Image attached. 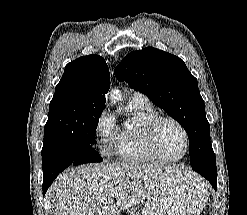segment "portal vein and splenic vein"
<instances>
[{
  "mask_svg": "<svg viewBox=\"0 0 247 215\" xmlns=\"http://www.w3.org/2000/svg\"><path fill=\"white\" fill-rule=\"evenodd\" d=\"M110 194H111V196H115L116 192H111Z\"/></svg>",
  "mask_w": 247,
  "mask_h": 215,
  "instance_id": "portal-vein-and-splenic-vein-1",
  "label": "portal vein and splenic vein"
}]
</instances>
